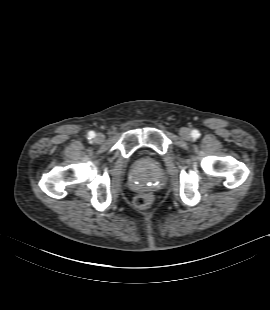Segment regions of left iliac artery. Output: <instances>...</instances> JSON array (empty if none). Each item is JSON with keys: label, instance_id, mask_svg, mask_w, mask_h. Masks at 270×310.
Masks as SVG:
<instances>
[{"label": "left iliac artery", "instance_id": "44dca946", "mask_svg": "<svg viewBox=\"0 0 270 310\" xmlns=\"http://www.w3.org/2000/svg\"><path fill=\"white\" fill-rule=\"evenodd\" d=\"M192 136H193L194 138H198V137L200 136L199 131L193 130V131H192Z\"/></svg>", "mask_w": 270, "mask_h": 310}]
</instances>
